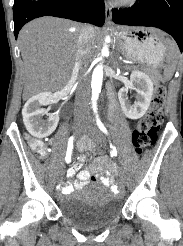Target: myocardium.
<instances>
[{
  "label": "myocardium",
  "mask_w": 183,
  "mask_h": 246,
  "mask_svg": "<svg viewBox=\"0 0 183 246\" xmlns=\"http://www.w3.org/2000/svg\"><path fill=\"white\" fill-rule=\"evenodd\" d=\"M123 4H131L136 0H120Z\"/></svg>",
  "instance_id": "f54148a6"
}]
</instances>
